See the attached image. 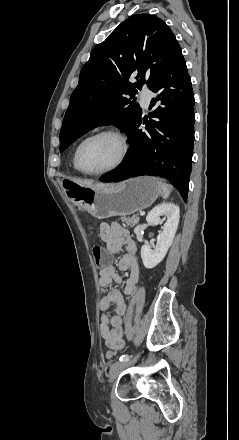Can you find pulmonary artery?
Masks as SVG:
<instances>
[{"mask_svg":"<svg viewBox=\"0 0 239 440\" xmlns=\"http://www.w3.org/2000/svg\"><path fill=\"white\" fill-rule=\"evenodd\" d=\"M153 97V94L150 91H146L142 94V103L145 107H147Z\"/></svg>","mask_w":239,"mask_h":440,"instance_id":"1","label":"pulmonary artery"}]
</instances>
